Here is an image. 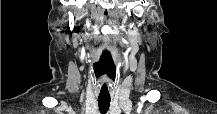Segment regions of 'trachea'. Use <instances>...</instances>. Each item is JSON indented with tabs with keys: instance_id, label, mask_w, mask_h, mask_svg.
<instances>
[{
	"instance_id": "trachea-1",
	"label": "trachea",
	"mask_w": 217,
	"mask_h": 114,
	"mask_svg": "<svg viewBox=\"0 0 217 114\" xmlns=\"http://www.w3.org/2000/svg\"><path fill=\"white\" fill-rule=\"evenodd\" d=\"M98 106L101 113L105 114L110 107V99L98 98Z\"/></svg>"
}]
</instances>
